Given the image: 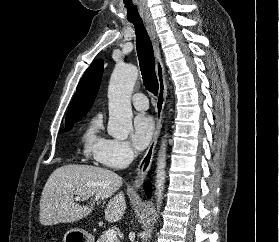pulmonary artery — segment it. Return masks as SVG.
Wrapping results in <instances>:
<instances>
[{
  "instance_id": "e3ab8cb5",
  "label": "pulmonary artery",
  "mask_w": 279,
  "mask_h": 242,
  "mask_svg": "<svg viewBox=\"0 0 279 242\" xmlns=\"http://www.w3.org/2000/svg\"><path fill=\"white\" fill-rule=\"evenodd\" d=\"M132 103L137 110H146L149 107L148 99L143 93L134 94Z\"/></svg>"
}]
</instances>
